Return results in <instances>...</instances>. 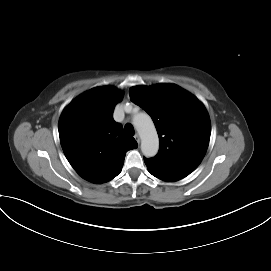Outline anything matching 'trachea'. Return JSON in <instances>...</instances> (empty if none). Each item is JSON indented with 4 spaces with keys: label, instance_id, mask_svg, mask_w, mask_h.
<instances>
[{
    "label": "trachea",
    "instance_id": "trachea-1",
    "mask_svg": "<svg viewBox=\"0 0 271 271\" xmlns=\"http://www.w3.org/2000/svg\"><path fill=\"white\" fill-rule=\"evenodd\" d=\"M124 131L127 135H130V136L134 135V128L131 124H126L124 127Z\"/></svg>",
    "mask_w": 271,
    "mask_h": 271
}]
</instances>
